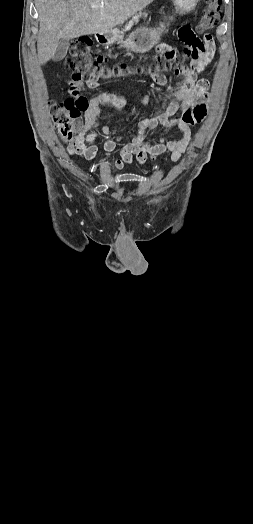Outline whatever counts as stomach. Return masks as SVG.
I'll list each match as a JSON object with an SVG mask.
<instances>
[{
    "label": "stomach",
    "mask_w": 253,
    "mask_h": 524,
    "mask_svg": "<svg viewBox=\"0 0 253 524\" xmlns=\"http://www.w3.org/2000/svg\"><path fill=\"white\" fill-rule=\"evenodd\" d=\"M177 14H186L191 12L197 5L199 0H172ZM172 20V17H169ZM166 28L164 23L160 24L158 28L140 27L133 31L126 40L119 38L118 44L120 47L131 49L135 52L145 53L149 51L159 39L160 32ZM102 44L109 46L113 43L111 34H102Z\"/></svg>",
    "instance_id": "stomach-1"
}]
</instances>
